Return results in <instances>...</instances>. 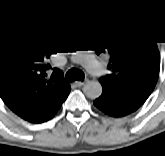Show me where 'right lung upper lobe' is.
<instances>
[{
    "instance_id": "cb5924a9",
    "label": "right lung upper lobe",
    "mask_w": 165,
    "mask_h": 156,
    "mask_svg": "<svg viewBox=\"0 0 165 156\" xmlns=\"http://www.w3.org/2000/svg\"><path fill=\"white\" fill-rule=\"evenodd\" d=\"M53 37L49 30L31 31L0 44V97L29 122L52 111L71 89L60 70L46 73Z\"/></svg>"
}]
</instances>
